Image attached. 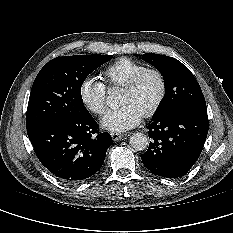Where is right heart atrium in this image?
<instances>
[{
    "mask_svg": "<svg viewBox=\"0 0 233 233\" xmlns=\"http://www.w3.org/2000/svg\"><path fill=\"white\" fill-rule=\"evenodd\" d=\"M79 92L83 104L91 112L96 115L107 112V88L98 77H87L81 83Z\"/></svg>",
    "mask_w": 233,
    "mask_h": 233,
    "instance_id": "obj_1",
    "label": "right heart atrium"
}]
</instances>
